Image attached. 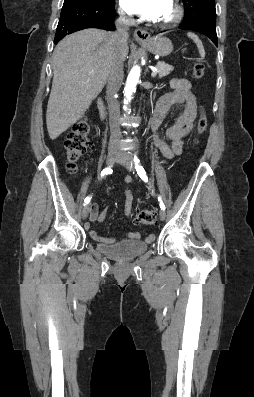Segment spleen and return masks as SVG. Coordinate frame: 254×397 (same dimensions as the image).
I'll return each instance as SVG.
<instances>
[{"instance_id":"spleen-1","label":"spleen","mask_w":254,"mask_h":397,"mask_svg":"<svg viewBox=\"0 0 254 397\" xmlns=\"http://www.w3.org/2000/svg\"><path fill=\"white\" fill-rule=\"evenodd\" d=\"M187 36L194 41V43L197 45L200 56L202 58H204L205 50H204L203 44H202L201 40L199 39V37L192 32H188Z\"/></svg>"}]
</instances>
